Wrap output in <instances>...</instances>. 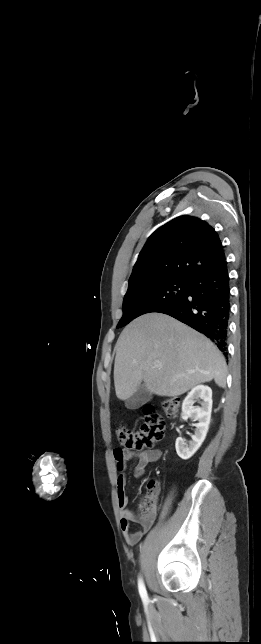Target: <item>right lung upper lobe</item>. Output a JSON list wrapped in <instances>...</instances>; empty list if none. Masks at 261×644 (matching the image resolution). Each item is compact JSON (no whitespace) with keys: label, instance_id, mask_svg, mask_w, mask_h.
<instances>
[{"label":"right lung upper lobe","instance_id":"cb5924a9","mask_svg":"<svg viewBox=\"0 0 261 644\" xmlns=\"http://www.w3.org/2000/svg\"><path fill=\"white\" fill-rule=\"evenodd\" d=\"M224 260L217 232L205 221L180 216L149 237L134 265L128 289L168 278L189 280Z\"/></svg>","mask_w":261,"mask_h":644}]
</instances>
